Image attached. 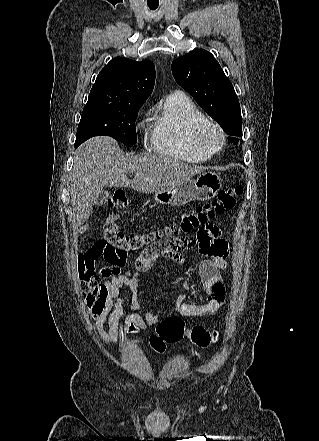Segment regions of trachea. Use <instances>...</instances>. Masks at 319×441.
<instances>
[{"label": "trachea", "instance_id": "1", "mask_svg": "<svg viewBox=\"0 0 319 441\" xmlns=\"http://www.w3.org/2000/svg\"><path fill=\"white\" fill-rule=\"evenodd\" d=\"M157 7H158V5H149V8H150L151 10H155Z\"/></svg>", "mask_w": 319, "mask_h": 441}]
</instances>
